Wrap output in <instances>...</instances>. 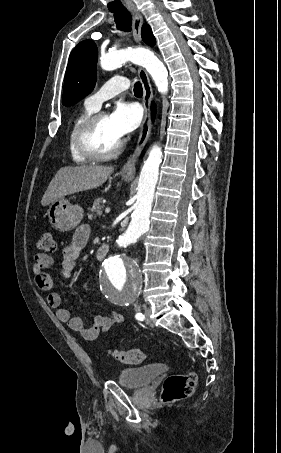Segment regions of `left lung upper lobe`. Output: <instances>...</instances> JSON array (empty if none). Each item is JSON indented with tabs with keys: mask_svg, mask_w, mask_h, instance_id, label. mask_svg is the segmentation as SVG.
<instances>
[{
	"mask_svg": "<svg viewBox=\"0 0 281 453\" xmlns=\"http://www.w3.org/2000/svg\"><path fill=\"white\" fill-rule=\"evenodd\" d=\"M97 56L98 49L92 40H84L72 50L65 73L63 105H74L93 90Z\"/></svg>",
	"mask_w": 281,
	"mask_h": 453,
	"instance_id": "1",
	"label": "left lung upper lobe"
}]
</instances>
